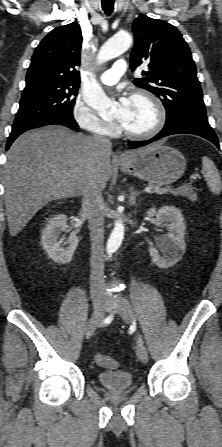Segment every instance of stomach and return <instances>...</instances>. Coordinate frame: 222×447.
<instances>
[{
  "instance_id": "stomach-1",
  "label": "stomach",
  "mask_w": 222,
  "mask_h": 447,
  "mask_svg": "<svg viewBox=\"0 0 222 447\" xmlns=\"http://www.w3.org/2000/svg\"><path fill=\"white\" fill-rule=\"evenodd\" d=\"M121 170L152 184L167 185L179 179L186 168L183 154L169 146L152 144L118 161Z\"/></svg>"
}]
</instances>
